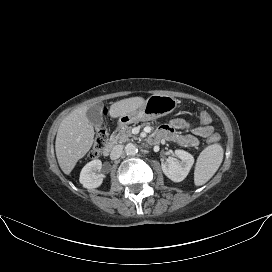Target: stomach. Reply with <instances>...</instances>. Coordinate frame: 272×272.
I'll use <instances>...</instances> for the list:
<instances>
[{
    "instance_id": "obj_1",
    "label": "stomach",
    "mask_w": 272,
    "mask_h": 272,
    "mask_svg": "<svg viewBox=\"0 0 272 272\" xmlns=\"http://www.w3.org/2000/svg\"><path fill=\"white\" fill-rule=\"evenodd\" d=\"M178 101L169 95H151L137 110L122 115L119 124L124 126L138 121H150L170 114L177 107Z\"/></svg>"
}]
</instances>
